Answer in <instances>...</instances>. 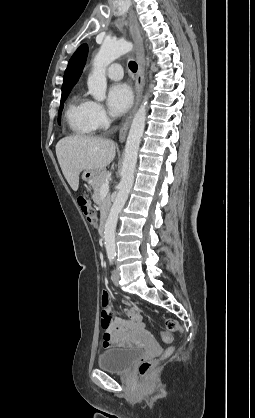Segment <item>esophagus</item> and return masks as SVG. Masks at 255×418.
<instances>
[{
    "mask_svg": "<svg viewBox=\"0 0 255 418\" xmlns=\"http://www.w3.org/2000/svg\"><path fill=\"white\" fill-rule=\"evenodd\" d=\"M129 18H130V32H131V36H132V39L134 41L135 48H136L138 71H137L136 81H135V92H136L135 103L131 112L129 113L128 117L126 118L122 127L120 128V131H119L120 142H123L126 138L133 116L140 104L143 89H144L145 60H144L143 42L139 34L138 21L132 10L130 11Z\"/></svg>",
    "mask_w": 255,
    "mask_h": 418,
    "instance_id": "esophagus-1",
    "label": "esophagus"
}]
</instances>
